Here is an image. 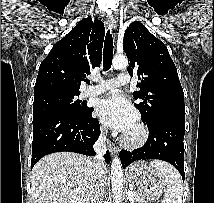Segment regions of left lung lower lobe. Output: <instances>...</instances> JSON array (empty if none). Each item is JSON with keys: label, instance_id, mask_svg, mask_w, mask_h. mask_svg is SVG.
I'll return each mask as SVG.
<instances>
[{"label": "left lung lower lobe", "instance_id": "obj_1", "mask_svg": "<svg viewBox=\"0 0 214 203\" xmlns=\"http://www.w3.org/2000/svg\"><path fill=\"white\" fill-rule=\"evenodd\" d=\"M146 124L149 136L145 145L133 151H120L123 168L137 160L158 159L175 166L184 179L185 115L166 114Z\"/></svg>", "mask_w": 214, "mask_h": 203}]
</instances>
